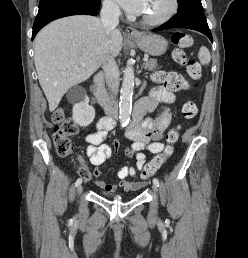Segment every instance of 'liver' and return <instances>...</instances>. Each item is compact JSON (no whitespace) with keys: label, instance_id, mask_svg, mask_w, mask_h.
Returning <instances> with one entry per match:
<instances>
[{"label":"liver","instance_id":"6515ba94","mask_svg":"<svg viewBox=\"0 0 248 258\" xmlns=\"http://www.w3.org/2000/svg\"><path fill=\"white\" fill-rule=\"evenodd\" d=\"M122 46L120 31L108 36L97 17L69 16L44 27L35 38L34 62L50 112L71 87L99 69L107 50L116 57Z\"/></svg>","mask_w":248,"mask_h":258}]
</instances>
